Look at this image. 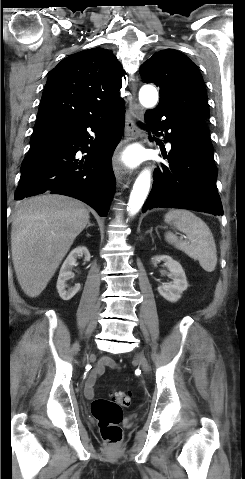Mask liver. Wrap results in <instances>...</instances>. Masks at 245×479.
<instances>
[{
  "label": "liver",
  "instance_id": "liver-1",
  "mask_svg": "<svg viewBox=\"0 0 245 479\" xmlns=\"http://www.w3.org/2000/svg\"><path fill=\"white\" fill-rule=\"evenodd\" d=\"M89 219L83 203L63 195L37 196L17 205L11 228L12 261L27 296L42 293Z\"/></svg>",
  "mask_w": 245,
  "mask_h": 479
}]
</instances>
